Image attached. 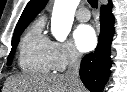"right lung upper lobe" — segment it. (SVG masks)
I'll return each mask as SVG.
<instances>
[{
    "instance_id": "right-lung-upper-lobe-1",
    "label": "right lung upper lobe",
    "mask_w": 127,
    "mask_h": 92,
    "mask_svg": "<svg viewBox=\"0 0 127 92\" xmlns=\"http://www.w3.org/2000/svg\"><path fill=\"white\" fill-rule=\"evenodd\" d=\"M47 1L48 0H30L20 17L14 32L27 27L36 15L44 8Z\"/></svg>"
}]
</instances>
